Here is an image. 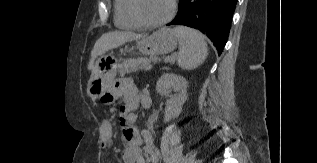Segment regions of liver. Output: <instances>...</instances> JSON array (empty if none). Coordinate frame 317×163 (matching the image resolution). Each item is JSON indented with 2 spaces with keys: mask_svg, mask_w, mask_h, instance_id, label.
<instances>
[{
  "mask_svg": "<svg viewBox=\"0 0 317 163\" xmlns=\"http://www.w3.org/2000/svg\"><path fill=\"white\" fill-rule=\"evenodd\" d=\"M144 38L143 35L131 32L115 31L103 34L95 43L91 52L88 69L93 70L95 59L109 50L118 48L127 42Z\"/></svg>",
  "mask_w": 317,
  "mask_h": 163,
  "instance_id": "6515ba94",
  "label": "liver"
}]
</instances>
